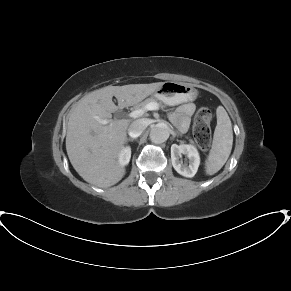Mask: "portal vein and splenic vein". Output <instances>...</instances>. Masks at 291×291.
Wrapping results in <instances>:
<instances>
[{
  "label": "portal vein and splenic vein",
  "instance_id": "18ae733b",
  "mask_svg": "<svg viewBox=\"0 0 291 291\" xmlns=\"http://www.w3.org/2000/svg\"><path fill=\"white\" fill-rule=\"evenodd\" d=\"M159 109V104L157 102H150L146 106L141 109H137L129 113V117L131 118H138L141 117L147 111H156ZM99 122L102 124H107V120L99 119Z\"/></svg>",
  "mask_w": 291,
  "mask_h": 291
}]
</instances>
